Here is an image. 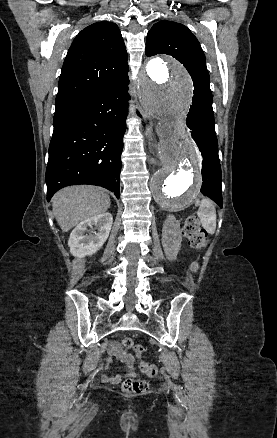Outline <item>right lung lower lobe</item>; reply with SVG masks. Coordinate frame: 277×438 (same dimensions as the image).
Returning a JSON list of instances; mask_svg holds the SVG:
<instances>
[{"label":"right lung lower lobe","instance_id":"98d812e1","mask_svg":"<svg viewBox=\"0 0 277 438\" xmlns=\"http://www.w3.org/2000/svg\"><path fill=\"white\" fill-rule=\"evenodd\" d=\"M110 62L97 70L110 71ZM75 68H78L76 66ZM128 75L56 108L46 169L47 200L68 185H98L120 197Z\"/></svg>","mask_w":277,"mask_h":438}]
</instances>
